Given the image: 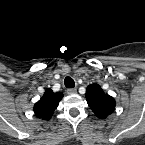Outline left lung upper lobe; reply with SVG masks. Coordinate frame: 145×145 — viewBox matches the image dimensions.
Instances as JSON below:
<instances>
[{
	"mask_svg": "<svg viewBox=\"0 0 145 145\" xmlns=\"http://www.w3.org/2000/svg\"><path fill=\"white\" fill-rule=\"evenodd\" d=\"M86 100L94 114L100 119L107 118L115 110V99L105 94L98 84H91L87 87Z\"/></svg>",
	"mask_w": 145,
	"mask_h": 145,
	"instance_id": "1",
	"label": "left lung upper lobe"
}]
</instances>
